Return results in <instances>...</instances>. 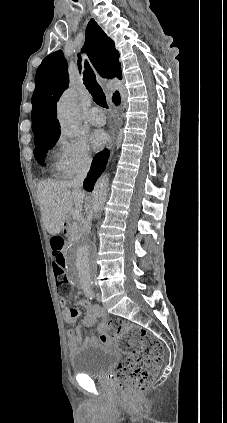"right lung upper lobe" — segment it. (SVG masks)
I'll return each mask as SVG.
<instances>
[{"instance_id":"right-lung-upper-lobe-1","label":"right lung upper lobe","mask_w":227,"mask_h":423,"mask_svg":"<svg viewBox=\"0 0 227 423\" xmlns=\"http://www.w3.org/2000/svg\"><path fill=\"white\" fill-rule=\"evenodd\" d=\"M86 51L97 72L106 78H122L119 53L114 42L91 20L86 29ZM80 66V62H79ZM67 62L62 51L44 58L35 76L36 88L32 96V131L35 138L60 134L56 119V103L68 87ZM114 103H119V93L113 95Z\"/></svg>"}]
</instances>
